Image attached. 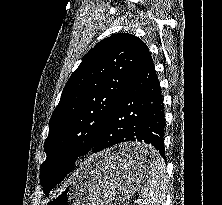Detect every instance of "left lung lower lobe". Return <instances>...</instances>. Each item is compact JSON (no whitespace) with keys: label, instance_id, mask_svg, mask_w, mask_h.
Returning <instances> with one entry per match:
<instances>
[{"label":"left lung lower lobe","instance_id":"0a47b994","mask_svg":"<svg viewBox=\"0 0 222 205\" xmlns=\"http://www.w3.org/2000/svg\"><path fill=\"white\" fill-rule=\"evenodd\" d=\"M164 128L161 88L146 47L90 152L97 153L122 142L141 141L154 146L165 158ZM76 157L69 153L62 154L56 163L57 169L67 175L73 170ZM153 157L147 151H135L127 162L145 166L151 164Z\"/></svg>","mask_w":222,"mask_h":205}]
</instances>
